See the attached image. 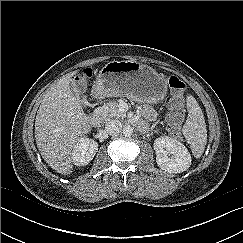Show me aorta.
<instances>
[{
  "label": "aorta",
  "mask_w": 243,
  "mask_h": 243,
  "mask_svg": "<svg viewBox=\"0 0 243 243\" xmlns=\"http://www.w3.org/2000/svg\"><path fill=\"white\" fill-rule=\"evenodd\" d=\"M122 132H123V135H125V136H131L133 133V128L131 126H125L123 128Z\"/></svg>",
  "instance_id": "1"
}]
</instances>
